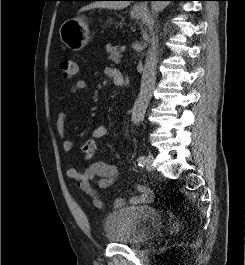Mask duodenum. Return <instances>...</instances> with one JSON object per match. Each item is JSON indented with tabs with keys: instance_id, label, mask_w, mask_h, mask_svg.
Masks as SVG:
<instances>
[{
	"instance_id": "duodenum-1",
	"label": "duodenum",
	"mask_w": 245,
	"mask_h": 265,
	"mask_svg": "<svg viewBox=\"0 0 245 265\" xmlns=\"http://www.w3.org/2000/svg\"><path fill=\"white\" fill-rule=\"evenodd\" d=\"M114 83L118 86H124L125 85V79L124 78H120V79H116L114 81Z\"/></svg>"
}]
</instances>
